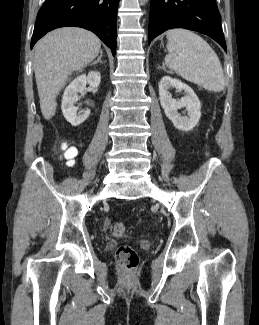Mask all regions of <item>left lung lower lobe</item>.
<instances>
[{"label": "left lung lower lobe", "instance_id": "0a47b994", "mask_svg": "<svg viewBox=\"0 0 259 325\" xmlns=\"http://www.w3.org/2000/svg\"><path fill=\"white\" fill-rule=\"evenodd\" d=\"M173 28L201 32L218 42L226 51L215 0H151L148 40Z\"/></svg>", "mask_w": 259, "mask_h": 325}]
</instances>
